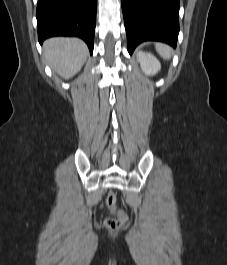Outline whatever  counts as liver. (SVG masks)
Masks as SVG:
<instances>
[{
    "label": "liver",
    "instance_id": "liver-1",
    "mask_svg": "<svg viewBox=\"0 0 227 265\" xmlns=\"http://www.w3.org/2000/svg\"><path fill=\"white\" fill-rule=\"evenodd\" d=\"M43 53L51 68L62 78H72L84 65L88 48L78 38L56 37L45 41Z\"/></svg>",
    "mask_w": 227,
    "mask_h": 265
}]
</instances>
